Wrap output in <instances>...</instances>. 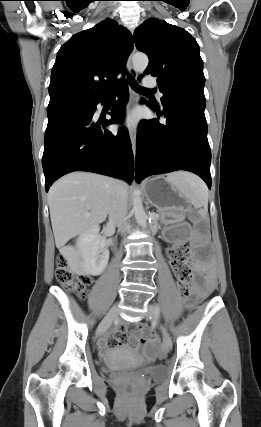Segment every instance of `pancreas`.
I'll use <instances>...</instances> for the list:
<instances>
[{"label":"pancreas","mask_w":261,"mask_h":427,"mask_svg":"<svg viewBox=\"0 0 261 427\" xmlns=\"http://www.w3.org/2000/svg\"><path fill=\"white\" fill-rule=\"evenodd\" d=\"M153 218H154L155 220H157V219L159 218L158 214H154V215H153Z\"/></svg>","instance_id":"cf45deb5"}]
</instances>
